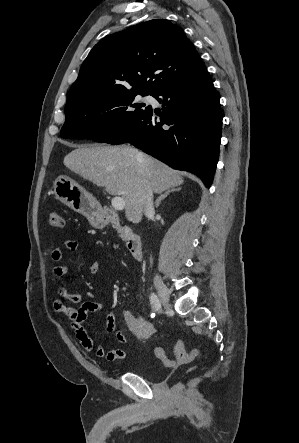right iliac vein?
<instances>
[{
  "mask_svg": "<svg viewBox=\"0 0 299 443\" xmlns=\"http://www.w3.org/2000/svg\"><path fill=\"white\" fill-rule=\"evenodd\" d=\"M154 284H155V287L158 291V294L160 296V300H161L162 304L165 307H168L170 295H169V290H168L167 286L162 282V280L160 278H156L154 280Z\"/></svg>",
  "mask_w": 299,
  "mask_h": 443,
  "instance_id": "63e3f726",
  "label": "right iliac vein"
}]
</instances>
